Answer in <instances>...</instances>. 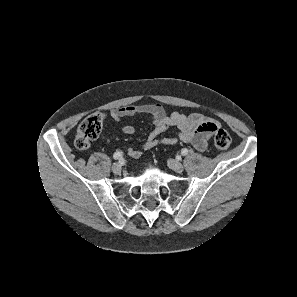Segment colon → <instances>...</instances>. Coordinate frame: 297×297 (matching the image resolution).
Returning a JSON list of instances; mask_svg holds the SVG:
<instances>
[{
    "label": "colon",
    "instance_id": "1",
    "mask_svg": "<svg viewBox=\"0 0 297 297\" xmlns=\"http://www.w3.org/2000/svg\"><path fill=\"white\" fill-rule=\"evenodd\" d=\"M104 116L100 113L89 115L78 126L75 137V146L79 150H86L90 142L96 139L102 129ZM214 146L219 151H225L231 144L229 133L223 129H218L214 135Z\"/></svg>",
    "mask_w": 297,
    "mask_h": 297
}]
</instances>
